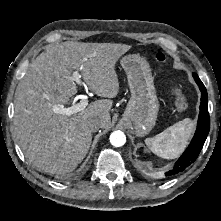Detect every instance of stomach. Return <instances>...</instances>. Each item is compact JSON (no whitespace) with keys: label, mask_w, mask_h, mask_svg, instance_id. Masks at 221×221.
I'll list each match as a JSON object with an SVG mask.
<instances>
[{"label":"stomach","mask_w":221,"mask_h":221,"mask_svg":"<svg viewBox=\"0 0 221 221\" xmlns=\"http://www.w3.org/2000/svg\"><path fill=\"white\" fill-rule=\"evenodd\" d=\"M121 65L131 92L124 117L132 122L137 136H144L154 127L159 111L150 65L138 54L124 56Z\"/></svg>","instance_id":"1"}]
</instances>
